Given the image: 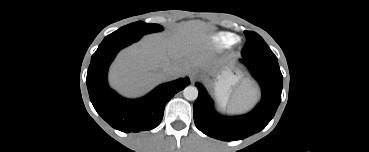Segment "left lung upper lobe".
Returning <instances> with one entry per match:
<instances>
[{"instance_id": "1", "label": "left lung upper lobe", "mask_w": 369, "mask_h": 152, "mask_svg": "<svg viewBox=\"0 0 369 152\" xmlns=\"http://www.w3.org/2000/svg\"><path fill=\"white\" fill-rule=\"evenodd\" d=\"M244 33L246 35V47L242 52V56L254 59L277 60L260 35L251 31H245Z\"/></svg>"}]
</instances>
